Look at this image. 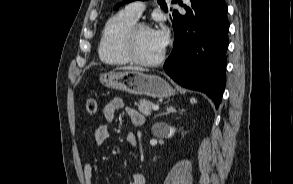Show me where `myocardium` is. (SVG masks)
<instances>
[{
    "instance_id": "f54148a6",
    "label": "myocardium",
    "mask_w": 293,
    "mask_h": 184,
    "mask_svg": "<svg viewBox=\"0 0 293 184\" xmlns=\"http://www.w3.org/2000/svg\"><path fill=\"white\" fill-rule=\"evenodd\" d=\"M141 29L151 30V27L145 22H136L127 30L124 36V41H123L124 52L126 56L128 57V59L135 64H138L141 66H149V67L156 66L163 61L165 57V51L162 50L160 55L154 59H151V60L141 59L135 51V37L137 32Z\"/></svg>"
}]
</instances>
